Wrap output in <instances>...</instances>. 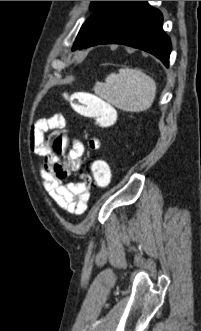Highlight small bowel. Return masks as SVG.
<instances>
[{"label": "small bowel", "mask_w": 201, "mask_h": 331, "mask_svg": "<svg viewBox=\"0 0 201 331\" xmlns=\"http://www.w3.org/2000/svg\"><path fill=\"white\" fill-rule=\"evenodd\" d=\"M66 121L61 113H54L38 119L30 129L31 152L41 159L38 164L43 186L52 200L70 214L81 215L87 209L93 180L88 174H80L79 181L68 182L71 171L82 168L85 145L66 130ZM54 130V136L61 135L68 141L63 155L51 151L44 141V134ZM99 140L90 139L88 147L97 149Z\"/></svg>", "instance_id": "1"}]
</instances>
